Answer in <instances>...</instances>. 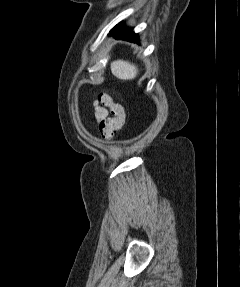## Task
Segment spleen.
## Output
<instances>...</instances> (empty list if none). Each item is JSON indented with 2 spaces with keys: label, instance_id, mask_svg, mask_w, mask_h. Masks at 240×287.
Segmentation results:
<instances>
[{
  "label": "spleen",
  "instance_id": "3e777b00",
  "mask_svg": "<svg viewBox=\"0 0 240 287\" xmlns=\"http://www.w3.org/2000/svg\"><path fill=\"white\" fill-rule=\"evenodd\" d=\"M112 74L121 80H132L138 74V68L128 61L117 60L111 63Z\"/></svg>",
  "mask_w": 240,
  "mask_h": 287
}]
</instances>
